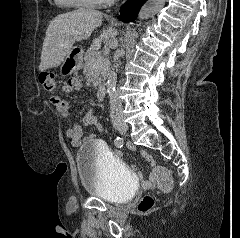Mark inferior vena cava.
<instances>
[{"instance_id": "602c4592", "label": "inferior vena cava", "mask_w": 240, "mask_h": 238, "mask_svg": "<svg viewBox=\"0 0 240 238\" xmlns=\"http://www.w3.org/2000/svg\"><path fill=\"white\" fill-rule=\"evenodd\" d=\"M110 116L112 121H116L123 118L122 101L115 91L110 97Z\"/></svg>"}]
</instances>
